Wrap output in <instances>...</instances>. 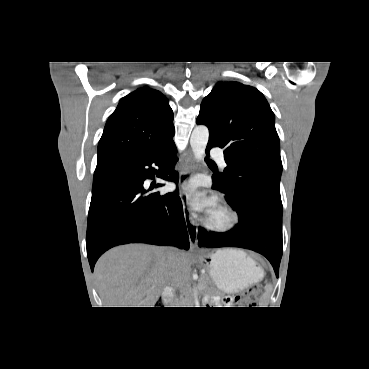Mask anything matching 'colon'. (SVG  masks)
<instances>
[{
    "label": "colon",
    "instance_id": "colon-1",
    "mask_svg": "<svg viewBox=\"0 0 369 369\" xmlns=\"http://www.w3.org/2000/svg\"><path fill=\"white\" fill-rule=\"evenodd\" d=\"M262 295V288L259 285L251 286L248 290L234 298V304L239 307L255 306Z\"/></svg>",
    "mask_w": 369,
    "mask_h": 369
}]
</instances>
